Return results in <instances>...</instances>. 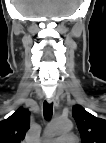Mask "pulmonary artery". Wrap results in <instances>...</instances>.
<instances>
[{
	"instance_id": "e3ab8cb5",
	"label": "pulmonary artery",
	"mask_w": 106,
	"mask_h": 143,
	"mask_svg": "<svg viewBox=\"0 0 106 143\" xmlns=\"http://www.w3.org/2000/svg\"><path fill=\"white\" fill-rule=\"evenodd\" d=\"M56 141H66V142H74L76 141V137L73 135H66L64 137H59L55 139Z\"/></svg>"
}]
</instances>
